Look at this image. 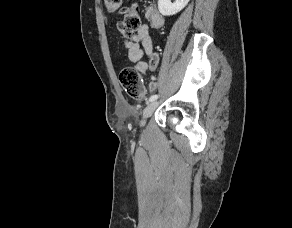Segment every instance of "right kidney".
<instances>
[{"label": "right kidney", "instance_id": "ca27d5eb", "mask_svg": "<svg viewBox=\"0 0 292 228\" xmlns=\"http://www.w3.org/2000/svg\"><path fill=\"white\" fill-rule=\"evenodd\" d=\"M190 0H176L171 3L170 0H158V9L163 16H171L180 12Z\"/></svg>", "mask_w": 292, "mask_h": 228}]
</instances>
